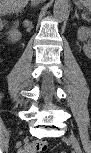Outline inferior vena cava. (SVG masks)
Listing matches in <instances>:
<instances>
[{
	"mask_svg": "<svg viewBox=\"0 0 91 153\" xmlns=\"http://www.w3.org/2000/svg\"><path fill=\"white\" fill-rule=\"evenodd\" d=\"M41 0H32L31 2L34 4H38Z\"/></svg>",
	"mask_w": 91,
	"mask_h": 153,
	"instance_id": "602c4592",
	"label": "inferior vena cava"
}]
</instances>
